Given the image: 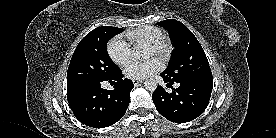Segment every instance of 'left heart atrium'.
<instances>
[{
    "label": "left heart atrium",
    "instance_id": "left-heart-atrium-1",
    "mask_svg": "<svg viewBox=\"0 0 276 138\" xmlns=\"http://www.w3.org/2000/svg\"><path fill=\"white\" fill-rule=\"evenodd\" d=\"M161 69V63L156 58H151L146 61H130L124 68V73L131 79H144Z\"/></svg>",
    "mask_w": 276,
    "mask_h": 138
}]
</instances>
